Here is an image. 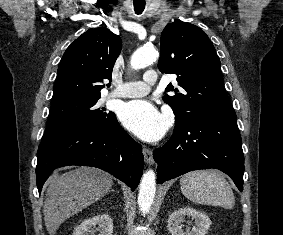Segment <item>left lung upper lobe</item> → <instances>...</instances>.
<instances>
[{
  "label": "left lung upper lobe",
  "instance_id": "left-lung-upper-lobe-1",
  "mask_svg": "<svg viewBox=\"0 0 283 235\" xmlns=\"http://www.w3.org/2000/svg\"><path fill=\"white\" fill-rule=\"evenodd\" d=\"M158 68L176 74L179 89L171 84L163 100L175 114V126L189 120L234 113L223 84L220 60L208 36L196 25L180 20L161 34Z\"/></svg>",
  "mask_w": 283,
  "mask_h": 235
}]
</instances>
